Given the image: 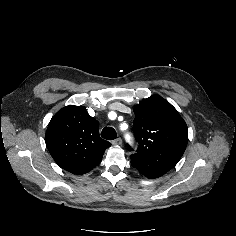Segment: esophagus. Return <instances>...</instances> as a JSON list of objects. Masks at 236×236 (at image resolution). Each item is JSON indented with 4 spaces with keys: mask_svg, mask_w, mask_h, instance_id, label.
<instances>
[{
    "mask_svg": "<svg viewBox=\"0 0 236 236\" xmlns=\"http://www.w3.org/2000/svg\"><path fill=\"white\" fill-rule=\"evenodd\" d=\"M113 145H121L122 144V139L121 138H117L115 140L112 141Z\"/></svg>",
    "mask_w": 236,
    "mask_h": 236,
    "instance_id": "34e87169",
    "label": "esophagus"
}]
</instances>
